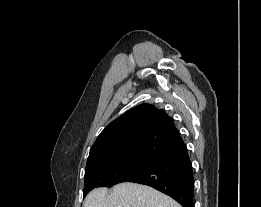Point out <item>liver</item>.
I'll use <instances>...</instances> for the list:
<instances>
[{
    "label": "liver",
    "instance_id": "6515ba94",
    "mask_svg": "<svg viewBox=\"0 0 261 207\" xmlns=\"http://www.w3.org/2000/svg\"><path fill=\"white\" fill-rule=\"evenodd\" d=\"M83 207H182L169 196L152 187L124 182L107 188L93 189L85 198Z\"/></svg>",
    "mask_w": 261,
    "mask_h": 207
}]
</instances>
